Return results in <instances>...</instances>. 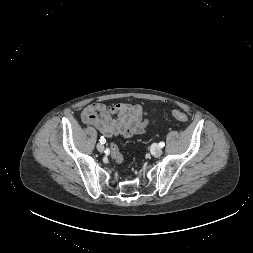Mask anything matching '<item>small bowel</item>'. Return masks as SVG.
I'll return each instance as SVG.
<instances>
[{"label": "small bowel", "instance_id": "c3829d8e", "mask_svg": "<svg viewBox=\"0 0 253 253\" xmlns=\"http://www.w3.org/2000/svg\"><path fill=\"white\" fill-rule=\"evenodd\" d=\"M147 112L139 104L117 103L107 106L94 102L82 112L84 123L94 126L107 137L124 138L145 132L149 124Z\"/></svg>", "mask_w": 253, "mask_h": 253}]
</instances>
